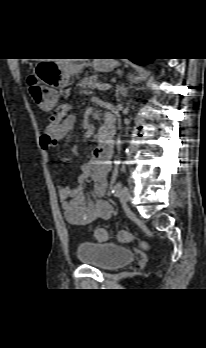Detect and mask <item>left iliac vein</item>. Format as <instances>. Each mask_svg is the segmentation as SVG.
Returning <instances> with one entry per match:
<instances>
[{
  "label": "left iliac vein",
  "mask_w": 206,
  "mask_h": 348,
  "mask_svg": "<svg viewBox=\"0 0 206 348\" xmlns=\"http://www.w3.org/2000/svg\"><path fill=\"white\" fill-rule=\"evenodd\" d=\"M131 197V192L128 187H123L119 193V199L122 204H126Z\"/></svg>",
  "instance_id": "obj_1"
}]
</instances>
